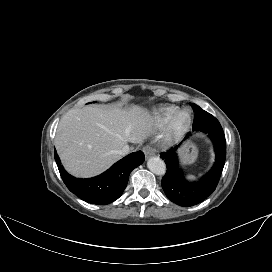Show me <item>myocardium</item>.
Masks as SVG:
<instances>
[{
  "label": "myocardium",
  "instance_id": "f54148a6",
  "mask_svg": "<svg viewBox=\"0 0 272 272\" xmlns=\"http://www.w3.org/2000/svg\"><path fill=\"white\" fill-rule=\"evenodd\" d=\"M190 123L191 112L185 108L177 110L166 124L164 139L168 142L177 140L187 131Z\"/></svg>",
  "mask_w": 272,
  "mask_h": 272
}]
</instances>
